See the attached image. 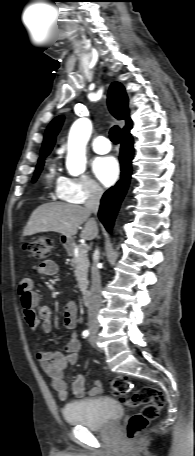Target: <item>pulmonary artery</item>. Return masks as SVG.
Returning a JSON list of instances; mask_svg holds the SVG:
<instances>
[{
    "label": "pulmonary artery",
    "mask_w": 195,
    "mask_h": 456,
    "mask_svg": "<svg viewBox=\"0 0 195 456\" xmlns=\"http://www.w3.org/2000/svg\"><path fill=\"white\" fill-rule=\"evenodd\" d=\"M92 149L98 154H106L111 150V144L106 137L99 136L93 141Z\"/></svg>",
    "instance_id": "pulmonary-artery-1"
}]
</instances>
